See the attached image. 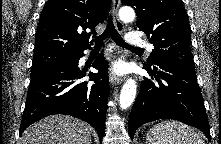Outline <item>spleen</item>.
<instances>
[{"instance_id":"1","label":"spleen","mask_w":221,"mask_h":144,"mask_svg":"<svg viewBox=\"0 0 221 144\" xmlns=\"http://www.w3.org/2000/svg\"><path fill=\"white\" fill-rule=\"evenodd\" d=\"M146 144H205L195 130L179 121L165 120L146 135Z\"/></svg>"}]
</instances>
